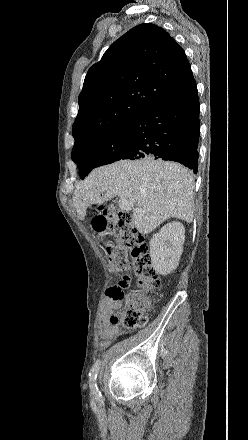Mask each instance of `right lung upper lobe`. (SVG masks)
<instances>
[{"instance_id": "cb5924a9", "label": "right lung upper lobe", "mask_w": 248, "mask_h": 440, "mask_svg": "<svg viewBox=\"0 0 248 440\" xmlns=\"http://www.w3.org/2000/svg\"><path fill=\"white\" fill-rule=\"evenodd\" d=\"M184 50L164 29L138 25L90 67L73 124L74 148L127 124L150 104L194 87Z\"/></svg>"}]
</instances>
